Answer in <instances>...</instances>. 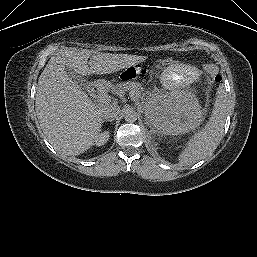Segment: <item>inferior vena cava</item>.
Here are the masks:
<instances>
[{
    "instance_id": "1",
    "label": "inferior vena cava",
    "mask_w": 257,
    "mask_h": 257,
    "mask_svg": "<svg viewBox=\"0 0 257 257\" xmlns=\"http://www.w3.org/2000/svg\"><path fill=\"white\" fill-rule=\"evenodd\" d=\"M120 107L115 104H106L100 108V115L106 120L115 119L120 113Z\"/></svg>"
}]
</instances>
